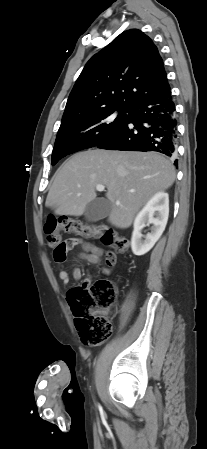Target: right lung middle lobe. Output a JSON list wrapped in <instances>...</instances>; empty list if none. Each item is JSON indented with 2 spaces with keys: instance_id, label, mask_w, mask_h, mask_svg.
I'll return each mask as SVG.
<instances>
[{
  "instance_id": "right-lung-middle-lobe-1",
  "label": "right lung middle lobe",
  "mask_w": 207,
  "mask_h": 449,
  "mask_svg": "<svg viewBox=\"0 0 207 449\" xmlns=\"http://www.w3.org/2000/svg\"><path fill=\"white\" fill-rule=\"evenodd\" d=\"M131 108H105L62 120L52 152V165L74 152L97 146L129 119Z\"/></svg>"
}]
</instances>
